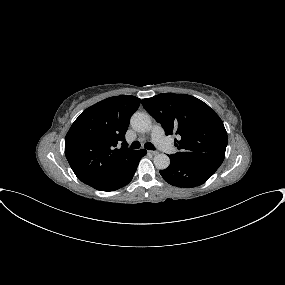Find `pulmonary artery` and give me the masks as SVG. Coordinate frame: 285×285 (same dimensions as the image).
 <instances>
[{
  "label": "pulmonary artery",
  "instance_id": "pulmonary-artery-1",
  "mask_svg": "<svg viewBox=\"0 0 285 285\" xmlns=\"http://www.w3.org/2000/svg\"><path fill=\"white\" fill-rule=\"evenodd\" d=\"M151 136L153 142L165 153L172 154L175 152L174 145L168 140L163 133L160 125L155 124L151 129Z\"/></svg>",
  "mask_w": 285,
  "mask_h": 285
}]
</instances>
